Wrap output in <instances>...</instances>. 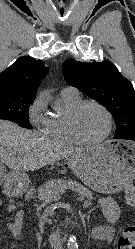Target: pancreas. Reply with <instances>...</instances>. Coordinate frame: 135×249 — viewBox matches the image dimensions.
<instances>
[{"label":"pancreas","instance_id":"cf45deb5","mask_svg":"<svg viewBox=\"0 0 135 249\" xmlns=\"http://www.w3.org/2000/svg\"><path fill=\"white\" fill-rule=\"evenodd\" d=\"M66 187H75V190L78 191L83 197H86L89 200L92 199V192L84 186L75 185L66 180H51L38 188L37 198L39 201H42L40 208L53 201L54 198L60 196V192Z\"/></svg>","mask_w":135,"mask_h":249}]
</instances>
